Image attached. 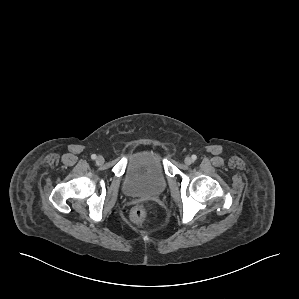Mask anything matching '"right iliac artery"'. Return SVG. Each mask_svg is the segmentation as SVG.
<instances>
[{
	"instance_id": "right-iliac-artery-1",
	"label": "right iliac artery",
	"mask_w": 299,
	"mask_h": 299,
	"mask_svg": "<svg viewBox=\"0 0 299 299\" xmlns=\"http://www.w3.org/2000/svg\"><path fill=\"white\" fill-rule=\"evenodd\" d=\"M91 158L94 160V159L97 158V156H96L95 154H92V155H91Z\"/></svg>"
}]
</instances>
